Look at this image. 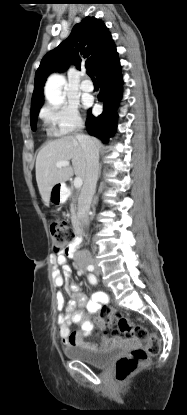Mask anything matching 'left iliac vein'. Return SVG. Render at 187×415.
Returning a JSON list of instances; mask_svg holds the SVG:
<instances>
[{"label": "left iliac vein", "mask_w": 187, "mask_h": 415, "mask_svg": "<svg viewBox=\"0 0 187 415\" xmlns=\"http://www.w3.org/2000/svg\"><path fill=\"white\" fill-rule=\"evenodd\" d=\"M95 274H96L97 276H99V274H100V269L96 268V269H95Z\"/></svg>", "instance_id": "obj_1"}]
</instances>
